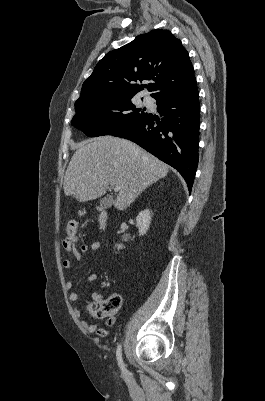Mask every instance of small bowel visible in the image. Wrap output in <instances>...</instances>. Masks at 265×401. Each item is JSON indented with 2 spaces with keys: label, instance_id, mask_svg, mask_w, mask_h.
<instances>
[{
  "label": "small bowel",
  "instance_id": "small-bowel-1",
  "mask_svg": "<svg viewBox=\"0 0 265 401\" xmlns=\"http://www.w3.org/2000/svg\"><path fill=\"white\" fill-rule=\"evenodd\" d=\"M63 247L76 260L81 261L83 259V254L88 253V252L97 251L100 248V243L99 242H90V243H83L80 246H77L75 243L67 244L64 240ZM62 265H63L64 269H70L73 265V260L71 258H67L62 262ZM97 279H98L97 274L92 273L87 276L86 280H87V282H94ZM65 286L68 290H70L73 286L72 281H70V280L67 281ZM78 298H79V295L75 291H72L69 294V300L71 302H77ZM94 299L100 300L101 297L99 294H94ZM74 313L77 317L81 316V311L78 308H75ZM114 321H115V319L112 317L107 321V323L109 325H111L114 323ZM81 325L83 328H85L90 333H96L101 336H105L107 334V331L103 328H100L97 324H90L87 321H81Z\"/></svg>",
  "mask_w": 265,
  "mask_h": 401
}]
</instances>
